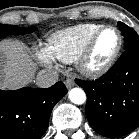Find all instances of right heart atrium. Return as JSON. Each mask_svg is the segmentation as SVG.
Instances as JSON below:
<instances>
[{
  "mask_svg": "<svg viewBox=\"0 0 139 139\" xmlns=\"http://www.w3.org/2000/svg\"><path fill=\"white\" fill-rule=\"evenodd\" d=\"M36 55L41 63H43L45 65H51L52 64V57L46 49L38 48L36 51Z\"/></svg>",
  "mask_w": 139,
  "mask_h": 139,
  "instance_id": "right-heart-atrium-1",
  "label": "right heart atrium"
}]
</instances>
